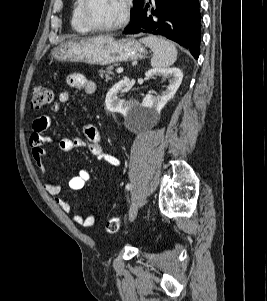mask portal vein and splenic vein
I'll return each instance as SVG.
<instances>
[{"label": "portal vein and splenic vein", "mask_w": 267, "mask_h": 301, "mask_svg": "<svg viewBox=\"0 0 267 301\" xmlns=\"http://www.w3.org/2000/svg\"><path fill=\"white\" fill-rule=\"evenodd\" d=\"M116 72H117L118 74L123 73V68H122V67L117 68Z\"/></svg>", "instance_id": "portal-vein-and-splenic-vein-1"}]
</instances>
